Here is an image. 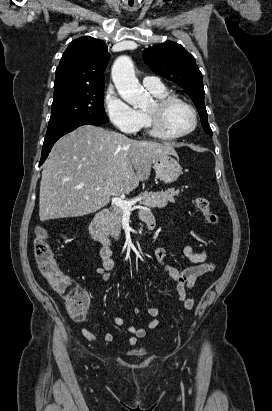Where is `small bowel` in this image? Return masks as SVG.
I'll list each match as a JSON object with an SVG mask.
<instances>
[{
  "label": "small bowel",
  "mask_w": 272,
  "mask_h": 411,
  "mask_svg": "<svg viewBox=\"0 0 272 411\" xmlns=\"http://www.w3.org/2000/svg\"><path fill=\"white\" fill-rule=\"evenodd\" d=\"M139 216L141 220L147 222V218L151 216V214L146 210H142L140 211ZM154 227L155 225L151 229ZM166 254V250L163 247L157 248L154 252L158 264L162 266L164 272L176 284L179 301L184 304L186 309L190 310L195 304L193 297L190 295V290L199 278L214 269V265L213 263L206 261L207 252L205 249L195 252L189 245L183 248V254L191 263H193L192 266L179 269L174 266L166 265L164 262ZM100 258L101 265L95 269V272L103 281L108 282L111 279V271L115 268V261L112 257L111 248L102 247L100 250ZM188 302H190V307L187 308ZM90 310L93 315L97 314V308L94 304L90 305ZM139 312L140 310L136 309V313ZM147 314L151 319L146 323L145 327L129 326L127 328L130 333V336L126 339L127 347H134L137 344L138 339L146 336L147 330L156 329L160 325L158 319L159 309L157 307H149L147 309ZM112 321L117 326H123L125 323L124 318L120 316H113ZM81 335L89 341L98 340L97 335L86 328L81 329ZM101 339L106 343H112L114 341V336L111 333H105Z\"/></svg>",
  "instance_id": "c3829d8e"
}]
</instances>
